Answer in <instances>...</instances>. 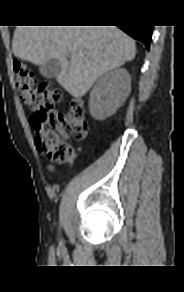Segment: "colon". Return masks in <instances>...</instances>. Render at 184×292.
<instances>
[{"label": "colon", "mask_w": 184, "mask_h": 292, "mask_svg": "<svg viewBox=\"0 0 184 292\" xmlns=\"http://www.w3.org/2000/svg\"><path fill=\"white\" fill-rule=\"evenodd\" d=\"M13 71L22 101L34 111L30 123L35 132V143L46 156L49 170L53 171L56 165L69 161L73 156L68 138L83 140L87 136L84 105L81 100L74 99L68 111L59 113L54 107L61 98L57 88L47 81L37 83L33 71L18 60L13 63Z\"/></svg>", "instance_id": "5ec220e1"}]
</instances>
